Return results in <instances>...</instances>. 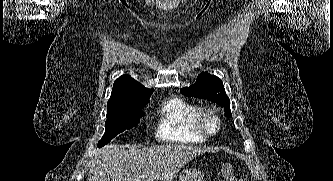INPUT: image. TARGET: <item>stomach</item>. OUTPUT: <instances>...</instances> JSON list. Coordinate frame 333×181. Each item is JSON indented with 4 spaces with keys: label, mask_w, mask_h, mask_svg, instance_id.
Instances as JSON below:
<instances>
[{
    "label": "stomach",
    "mask_w": 333,
    "mask_h": 181,
    "mask_svg": "<svg viewBox=\"0 0 333 181\" xmlns=\"http://www.w3.org/2000/svg\"><path fill=\"white\" fill-rule=\"evenodd\" d=\"M204 174L197 168H186L179 174V181H203Z\"/></svg>",
    "instance_id": "1"
}]
</instances>
